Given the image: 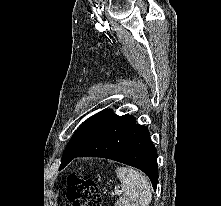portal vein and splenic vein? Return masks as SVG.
Listing matches in <instances>:
<instances>
[{
  "mask_svg": "<svg viewBox=\"0 0 221 206\" xmlns=\"http://www.w3.org/2000/svg\"><path fill=\"white\" fill-rule=\"evenodd\" d=\"M121 191L117 188V187H115V189H114V193L115 194H119Z\"/></svg>",
  "mask_w": 221,
  "mask_h": 206,
  "instance_id": "1",
  "label": "portal vein and splenic vein"
}]
</instances>
